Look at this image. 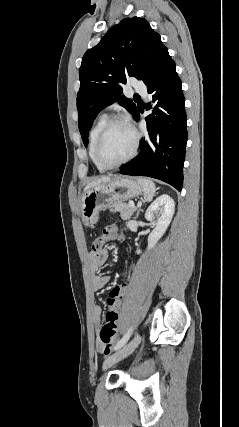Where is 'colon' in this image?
Returning <instances> with one entry per match:
<instances>
[{"label":"colon","instance_id":"obj_1","mask_svg":"<svg viewBox=\"0 0 239 427\" xmlns=\"http://www.w3.org/2000/svg\"><path fill=\"white\" fill-rule=\"evenodd\" d=\"M122 228V224H117L115 222L105 227L102 234L93 240L91 245L92 252H99L103 245L110 240L112 244H124L126 242L127 232L125 230H117ZM129 247L131 248L132 246L130 245ZM126 253L128 254L129 252L127 251ZM122 267L123 275H131V268L127 265H123ZM127 289L128 282L126 280L116 281L105 297V304L109 305V307L107 308L104 324L100 330V340L104 345L103 352L105 354L110 352L111 346L117 339L119 331V308L123 307V301L126 300Z\"/></svg>","mask_w":239,"mask_h":427}]
</instances>
